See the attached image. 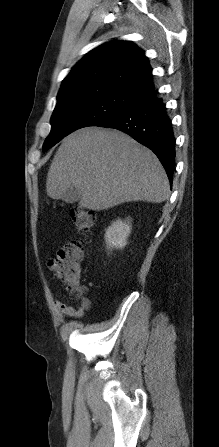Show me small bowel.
Masks as SVG:
<instances>
[{
  "instance_id": "obj_1",
  "label": "small bowel",
  "mask_w": 219,
  "mask_h": 447,
  "mask_svg": "<svg viewBox=\"0 0 219 447\" xmlns=\"http://www.w3.org/2000/svg\"><path fill=\"white\" fill-rule=\"evenodd\" d=\"M55 306L59 312L69 318H80L90 307V300L87 297H80L77 306L67 305L66 303L56 300Z\"/></svg>"
}]
</instances>
